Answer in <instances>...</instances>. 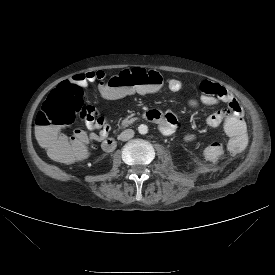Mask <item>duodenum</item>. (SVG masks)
I'll use <instances>...</instances> for the list:
<instances>
[{"label":"duodenum","instance_id":"410a0bca","mask_svg":"<svg viewBox=\"0 0 275 275\" xmlns=\"http://www.w3.org/2000/svg\"><path fill=\"white\" fill-rule=\"evenodd\" d=\"M148 112L147 111L145 113V118L147 120H149V117H148ZM117 146V140L113 137H109V138H106L103 142H102V148L107 151V152H111L113 151Z\"/></svg>","mask_w":275,"mask_h":275}]
</instances>
